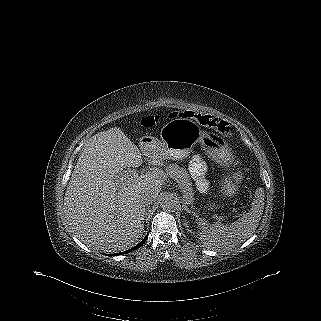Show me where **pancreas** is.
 Here are the masks:
<instances>
[{
  "mask_svg": "<svg viewBox=\"0 0 321 321\" xmlns=\"http://www.w3.org/2000/svg\"><path fill=\"white\" fill-rule=\"evenodd\" d=\"M167 173L174 177L178 184L180 185L182 191L184 192V197L187 203L191 204L193 202V194L190 183V177L187 171L183 168H180L176 164H170L166 167Z\"/></svg>",
  "mask_w": 321,
  "mask_h": 321,
  "instance_id": "pancreas-1",
  "label": "pancreas"
}]
</instances>
